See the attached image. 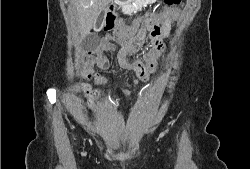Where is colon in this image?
Instances as JSON below:
<instances>
[{
    "mask_svg": "<svg viewBox=\"0 0 250 169\" xmlns=\"http://www.w3.org/2000/svg\"><path fill=\"white\" fill-rule=\"evenodd\" d=\"M162 3H167L168 5H178L180 0H162ZM124 26L120 20L117 19L115 10H110L105 18L104 24L101 26V30L104 32H118L123 30ZM150 40L156 43V48L159 51H164L167 48V43L161 40L162 29L156 24L150 25ZM145 37V30L140 31V33L135 37V41L131 44V49L134 52H139L142 49V42Z\"/></svg>",
    "mask_w": 250,
    "mask_h": 169,
    "instance_id": "obj_1",
    "label": "colon"
}]
</instances>
